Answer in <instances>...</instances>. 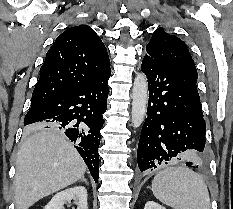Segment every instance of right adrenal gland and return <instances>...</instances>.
Here are the masks:
<instances>
[{"mask_svg":"<svg viewBox=\"0 0 233 209\" xmlns=\"http://www.w3.org/2000/svg\"><path fill=\"white\" fill-rule=\"evenodd\" d=\"M80 181L85 182L87 185L89 184V183H88V181L85 179V177H84V176H82V178L79 180V182H80Z\"/></svg>","mask_w":233,"mask_h":209,"instance_id":"obj_1","label":"right adrenal gland"}]
</instances>
